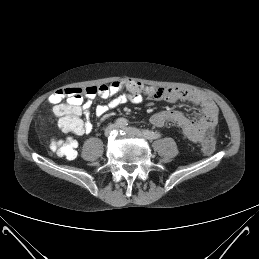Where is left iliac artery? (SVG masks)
Returning <instances> with one entry per match:
<instances>
[{"mask_svg":"<svg viewBox=\"0 0 259 259\" xmlns=\"http://www.w3.org/2000/svg\"><path fill=\"white\" fill-rule=\"evenodd\" d=\"M143 132L149 133V134L151 135V137H152V140L161 137V134H160V133L153 132V131H150V130H143Z\"/></svg>","mask_w":259,"mask_h":259,"instance_id":"44dca946","label":"left iliac artery"}]
</instances>
